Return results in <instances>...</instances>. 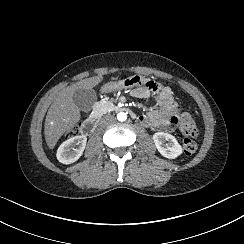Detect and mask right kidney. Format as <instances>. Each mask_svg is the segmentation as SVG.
I'll return each mask as SVG.
<instances>
[{
    "label": "right kidney",
    "mask_w": 244,
    "mask_h": 244,
    "mask_svg": "<svg viewBox=\"0 0 244 244\" xmlns=\"http://www.w3.org/2000/svg\"><path fill=\"white\" fill-rule=\"evenodd\" d=\"M87 143V137L83 135L74 136L64 141L57 149L56 158L64 165L73 164L82 156ZM79 146V148H75ZM72 148V149H70Z\"/></svg>",
    "instance_id": "obj_1"
}]
</instances>
